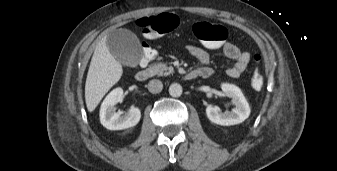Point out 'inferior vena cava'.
Segmentation results:
<instances>
[{
	"label": "inferior vena cava",
	"instance_id": "obj_1",
	"mask_svg": "<svg viewBox=\"0 0 337 171\" xmlns=\"http://www.w3.org/2000/svg\"><path fill=\"white\" fill-rule=\"evenodd\" d=\"M163 89V84L160 80L153 79L148 83V90L151 93H160Z\"/></svg>",
	"mask_w": 337,
	"mask_h": 171
}]
</instances>
